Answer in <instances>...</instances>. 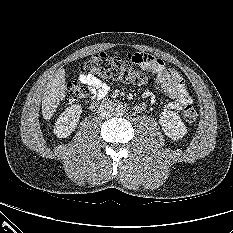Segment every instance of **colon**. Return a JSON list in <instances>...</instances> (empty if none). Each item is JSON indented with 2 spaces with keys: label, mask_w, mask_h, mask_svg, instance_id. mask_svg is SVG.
Returning a JSON list of instances; mask_svg holds the SVG:
<instances>
[{
  "label": "colon",
  "mask_w": 233,
  "mask_h": 233,
  "mask_svg": "<svg viewBox=\"0 0 233 233\" xmlns=\"http://www.w3.org/2000/svg\"><path fill=\"white\" fill-rule=\"evenodd\" d=\"M140 59L134 57L110 56L106 53L95 54L90 60L85 62L81 70L85 73L96 74L116 82L140 83L144 81L145 75L142 72ZM87 96V88L77 81H70L66 86L64 97L65 103H74ZM186 122L193 123L198 118V110L187 105L183 112Z\"/></svg>",
  "instance_id": "colon-1"
}]
</instances>
